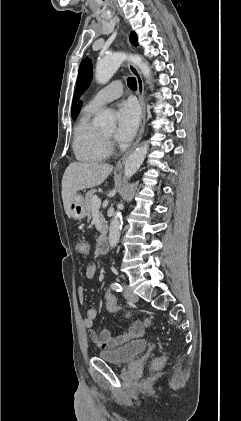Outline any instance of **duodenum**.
<instances>
[{"label": "duodenum", "mask_w": 241, "mask_h": 421, "mask_svg": "<svg viewBox=\"0 0 241 421\" xmlns=\"http://www.w3.org/2000/svg\"><path fill=\"white\" fill-rule=\"evenodd\" d=\"M97 251L99 254H105L108 251V240L106 236H102L97 244Z\"/></svg>", "instance_id": "410a0bca"}]
</instances>
